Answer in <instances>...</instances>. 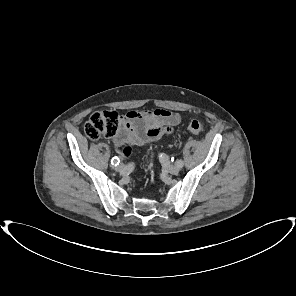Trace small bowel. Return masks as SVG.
<instances>
[{"label":"small bowel","mask_w":296,"mask_h":296,"mask_svg":"<svg viewBox=\"0 0 296 296\" xmlns=\"http://www.w3.org/2000/svg\"><path fill=\"white\" fill-rule=\"evenodd\" d=\"M181 116L167 109L130 111L120 120V127L113 137L116 146L130 143L141 146L172 132Z\"/></svg>","instance_id":"small-bowel-1"}]
</instances>
